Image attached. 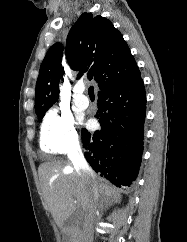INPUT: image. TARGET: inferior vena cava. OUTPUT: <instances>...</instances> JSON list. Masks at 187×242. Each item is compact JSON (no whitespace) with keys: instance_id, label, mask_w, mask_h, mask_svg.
<instances>
[{"instance_id":"1","label":"inferior vena cava","mask_w":187,"mask_h":242,"mask_svg":"<svg viewBox=\"0 0 187 242\" xmlns=\"http://www.w3.org/2000/svg\"><path fill=\"white\" fill-rule=\"evenodd\" d=\"M68 158L72 162L77 174L90 182L89 200L83 222V236L81 242H93V224L96 216L99 198L98 187L94 181V173L87 164L78 142L73 143L68 151Z\"/></svg>"}]
</instances>
